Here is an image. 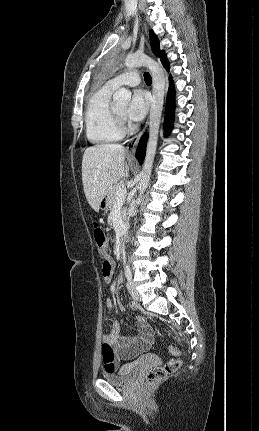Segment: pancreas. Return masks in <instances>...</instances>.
Returning <instances> with one entry per match:
<instances>
[{"label": "pancreas", "mask_w": 259, "mask_h": 431, "mask_svg": "<svg viewBox=\"0 0 259 431\" xmlns=\"http://www.w3.org/2000/svg\"><path fill=\"white\" fill-rule=\"evenodd\" d=\"M120 188H124L123 187V183L122 182H118V183H116L111 189H110V191H109V193H108V200H109V208L110 209H113V207L116 205V203H117V197H116V192H117V190L118 189H120ZM125 216H126V209L125 208H123L122 209V217H123V219H125Z\"/></svg>", "instance_id": "obj_1"}]
</instances>
